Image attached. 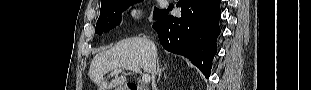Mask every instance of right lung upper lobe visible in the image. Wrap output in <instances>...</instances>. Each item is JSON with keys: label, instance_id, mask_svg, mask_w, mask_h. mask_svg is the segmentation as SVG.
<instances>
[{"label": "right lung upper lobe", "instance_id": "obj_1", "mask_svg": "<svg viewBox=\"0 0 311 90\" xmlns=\"http://www.w3.org/2000/svg\"><path fill=\"white\" fill-rule=\"evenodd\" d=\"M106 1H108V0H102V1H101V4H102V3H105Z\"/></svg>", "mask_w": 311, "mask_h": 90}]
</instances>
